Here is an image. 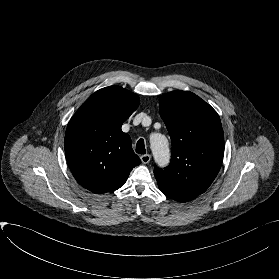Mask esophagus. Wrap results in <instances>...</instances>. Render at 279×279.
Listing matches in <instances>:
<instances>
[{"mask_svg": "<svg viewBox=\"0 0 279 279\" xmlns=\"http://www.w3.org/2000/svg\"><path fill=\"white\" fill-rule=\"evenodd\" d=\"M142 163L147 164L151 160V155L145 154L140 157Z\"/></svg>", "mask_w": 279, "mask_h": 279, "instance_id": "34e87169", "label": "esophagus"}]
</instances>
